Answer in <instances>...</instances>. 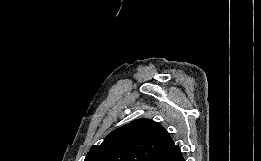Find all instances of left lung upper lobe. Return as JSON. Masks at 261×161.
Wrapping results in <instances>:
<instances>
[{
	"instance_id": "left-lung-upper-lobe-1",
	"label": "left lung upper lobe",
	"mask_w": 261,
	"mask_h": 161,
	"mask_svg": "<svg viewBox=\"0 0 261 161\" xmlns=\"http://www.w3.org/2000/svg\"><path fill=\"white\" fill-rule=\"evenodd\" d=\"M173 143L167 131L150 119H137L112 131L91 147L84 161H151Z\"/></svg>"
}]
</instances>
